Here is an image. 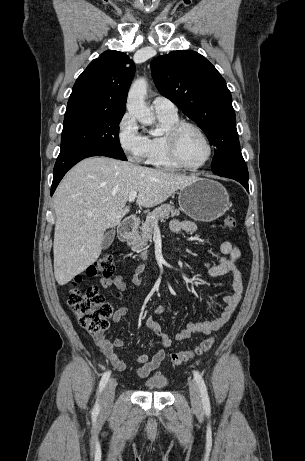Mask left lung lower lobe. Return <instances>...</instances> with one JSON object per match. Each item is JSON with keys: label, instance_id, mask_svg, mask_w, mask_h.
Instances as JSON below:
<instances>
[{"label": "left lung lower lobe", "instance_id": "obj_1", "mask_svg": "<svg viewBox=\"0 0 305 461\" xmlns=\"http://www.w3.org/2000/svg\"><path fill=\"white\" fill-rule=\"evenodd\" d=\"M222 177H228V178H231V179H234V180L240 182L246 188V190L249 192L248 177L243 178V177L234 176V175H226V176H222Z\"/></svg>", "mask_w": 305, "mask_h": 461}]
</instances>
